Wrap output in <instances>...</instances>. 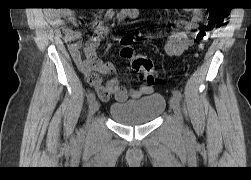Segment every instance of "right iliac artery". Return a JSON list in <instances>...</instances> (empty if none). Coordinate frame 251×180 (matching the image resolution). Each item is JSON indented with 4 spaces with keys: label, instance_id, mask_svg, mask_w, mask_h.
Masks as SVG:
<instances>
[{
    "label": "right iliac artery",
    "instance_id": "obj_1",
    "mask_svg": "<svg viewBox=\"0 0 251 180\" xmlns=\"http://www.w3.org/2000/svg\"><path fill=\"white\" fill-rule=\"evenodd\" d=\"M87 100H88L89 103H91L92 101L95 100V94H94V92H89L88 93Z\"/></svg>",
    "mask_w": 251,
    "mask_h": 180
}]
</instances>
